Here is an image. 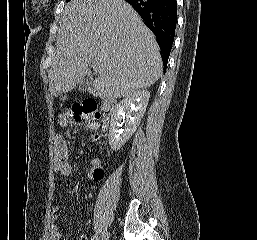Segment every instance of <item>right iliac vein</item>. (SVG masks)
Returning a JSON list of instances; mask_svg holds the SVG:
<instances>
[{
    "label": "right iliac vein",
    "mask_w": 257,
    "mask_h": 240,
    "mask_svg": "<svg viewBox=\"0 0 257 240\" xmlns=\"http://www.w3.org/2000/svg\"><path fill=\"white\" fill-rule=\"evenodd\" d=\"M100 240H109V232H104L101 235Z\"/></svg>",
    "instance_id": "63e3f726"
}]
</instances>
